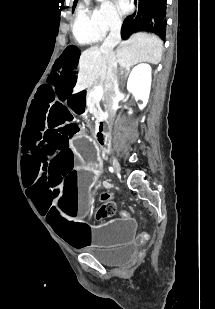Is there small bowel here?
Returning a JSON list of instances; mask_svg holds the SVG:
<instances>
[{"label":"small bowel","instance_id":"1","mask_svg":"<svg viewBox=\"0 0 215 309\" xmlns=\"http://www.w3.org/2000/svg\"><path fill=\"white\" fill-rule=\"evenodd\" d=\"M124 213H127V212H126V211H122V212H121V217H123V218L128 217V213H127V216H124Z\"/></svg>","mask_w":215,"mask_h":309}]
</instances>
